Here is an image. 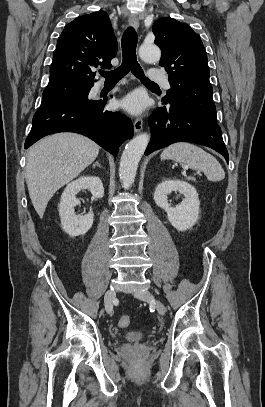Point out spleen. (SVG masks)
<instances>
[{"instance_id": "1", "label": "spleen", "mask_w": 265, "mask_h": 407, "mask_svg": "<svg viewBox=\"0 0 265 407\" xmlns=\"http://www.w3.org/2000/svg\"><path fill=\"white\" fill-rule=\"evenodd\" d=\"M161 159L184 162L191 169L204 172L210 181H221L225 178L224 170L217 159L202 148L191 143L178 142L168 146L162 152Z\"/></svg>"}]
</instances>
